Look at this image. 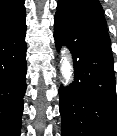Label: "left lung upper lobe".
<instances>
[{"label": "left lung upper lobe", "mask_w": 117, "mask_h": 136, "mask_svg": "<svg viewBox=\"0 0 117 136\" xmlns=\"http://www.w3.org/2000/svg\"><path fill=\"white\" fill-rule=\"evenodd\" d=\"M55 15L107 30L103 9L98 0H59Z\"/></svg>", "instance_id": "left-lung-upper-lobe-1"}]
</instances>
